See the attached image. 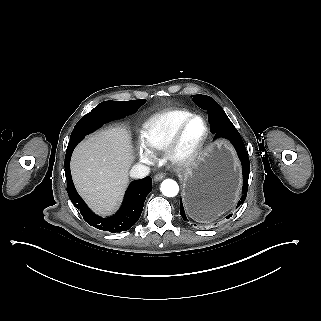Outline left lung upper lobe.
I'll use <instances>...</instances> for the list:
<instances>
[{"label":"left lung upper lobe","mask_w":321,"mask_h":321,"mask_svg":"<svg viewBox=\"0 0 321 321\" xmlns=\"http://www.w3.org/2000/svg\"><path fill=\"white\" fill-rule=\"evenodd\" d=\"M193 101L202 109L207 110L211 107L222 109L220 105L211 97L207 95H194Z\"/></svg>","instance_id":"1"}]
</instances>
